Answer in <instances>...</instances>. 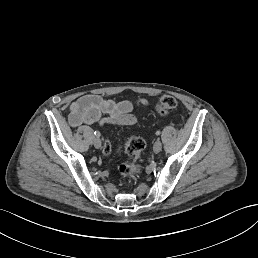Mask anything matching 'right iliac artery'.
<instances>
[{
    "mask_svg": "<svg viewBox=\"0 0 258 258\" xmlns=\"http://www.w3.org/2000/svg\"><path fill=\"white\" fill-rule=\"evenodd\" d=\"M94 134H95V136L100 137V132L99 131H95Z\"/></svg>",
    "mask_w": 258,
    "mask_h": 258,
    "instance_id": "82829eb1",
    "label": "right iliac artery"
}]
</instances>
